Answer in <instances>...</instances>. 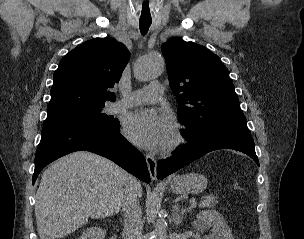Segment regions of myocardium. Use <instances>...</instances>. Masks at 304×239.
<instances>
[{"label":"myocardium","mask_w":304,"mask_h":239,"mask_svg":"<svg viewBox=\"0 0 304 239\" xmlns=\"http://www.w3.org/2000/svg\"><path fill=\"white\" fill-rule=\"evenodd\" d=\"M187 141L185 130L181 126H176L173 136L168 143V149L170 151L176 150L183 146Z\"/></svg>","instance_id":"1"}]
</instances>
